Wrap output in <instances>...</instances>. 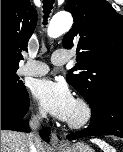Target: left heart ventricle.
I'll return each mask as SVG.
<instances>
[{"instance_id": "1", "label": "left heart ventricle", "mask_w": 123, "mask_h": 152, "mask_svg": "<svg viewBox=\"0 0 123 152\" xmlns=\"http://www.w3.org/2000/svg\"><path fill=\"white\" fill-rule=\"evenodd\" d=\"M79 115V108L77 107V105L75 104L74 110L72 112V115L70 118H76Z\"/></svg>"}]
</instances>
